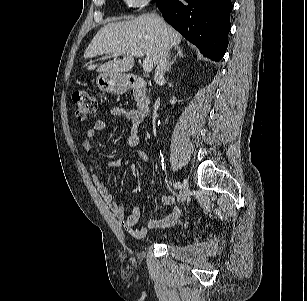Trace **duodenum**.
Returning a JSON list of instances; mask_svg holds the SVG:
<instances>
[{"label":"duodenum","mask_w":307,"mask_h":301,"mask_svg":"<svg viewBox=\"0 0 307 301\" xmlns=\"http://www.w3.org/2000/svg\"><path fill=\"white\" fill-rule=\"evenodd\" d=\"M129 86L137 95L136 107L142 116H147L151 111V102L147 97V84L143 77L133 75L129 80Z\"/></svg>","instance_id":"obj_1"}]
</instances>
